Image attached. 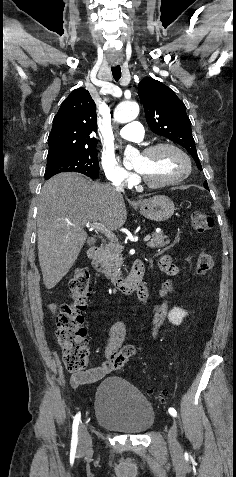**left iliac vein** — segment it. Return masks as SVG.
<instances>
[{"mask_svg": "<svg viewBox=\"0 0 236 477\" xmlns=\"http://www.w3.org/2000/svg\"><path fill=\"white\" fill-rule=\"evenodd\" d=\"M170 423L172 427L170 428L168 432V443L171 449H176L179 447V443L177 441V425L178 422L175 420V416L173 414L169 415Z\"/></svg>", "mask_w": 236, "mask_h": 477, "instance_id": "obj_1", "label": "left iliac vein"}]
</instances>
